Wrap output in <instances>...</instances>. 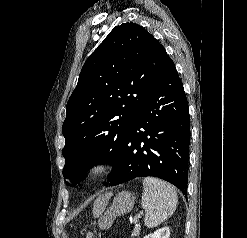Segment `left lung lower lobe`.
Segmentation results:
<instances>
[{"instance_id": "0a47b994", "label": "left lung lower lobe", "mask_w": 247, "mask_h": 238, "mask_svg": "<svg viewBox=\"0 0 247 238\" xmlns=\"http://www.w3.org/2000/svg\"><path fill=\"white\" fill-rule=\"evenodd\" d=\"M190 119L183 84L168 57L161 74L131 125L109 186L137 177L166 180L187 189Z\"/></svg>"}]
</instances>
